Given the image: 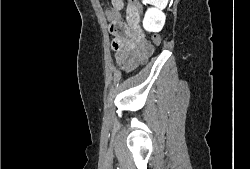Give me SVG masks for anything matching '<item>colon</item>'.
<instances>
[{"label": "colon", "instance_id": "obj_1", "mask_svg": "<svg viewBox=\"0 0 250 169\" xmlns=\"http://www.w3.org/2000/svg\"><path fill=\"white\" fill-rule=\"evenodd\" d=\"M141 0H128V3L131 4V8H134V10H137V15H143V5L141 3ZM113 5L116 6L117 8L121 9L123 7V3L121 0H114ZM115 32L117 34H125L127 33V28L120 22V21H115L113 22ZM152 42L154 46H159V44H162V39L158 34H153L152 35Z\"/></svg>", "mask_w": 250, "mask_h": 169}]
</instances>
